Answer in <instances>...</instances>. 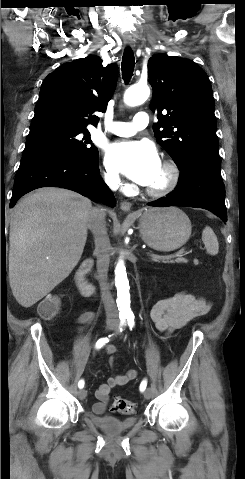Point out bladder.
I'll use <instances>...</instances> for the list:
<instances>
[{
    "label": "bladder",
    "instance_id": "obj_1",
    "mask_svg": "<svg viewBox=\"0 0 245 479\" xmlns=\"http://www.w3.org/2000/svg\"><path fill=\"white\" fill-rule=\"evenodd\" d=\"M92 423L108 434L129 430L136 422L135 417L115 418L112 416L90 415Z\"/></svg>",
    "mask_w": 245,
    "mask_h": 479
}]
</instances>
